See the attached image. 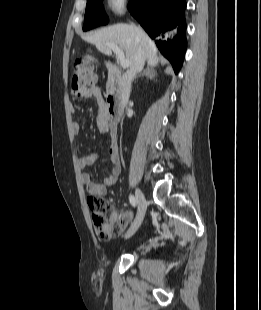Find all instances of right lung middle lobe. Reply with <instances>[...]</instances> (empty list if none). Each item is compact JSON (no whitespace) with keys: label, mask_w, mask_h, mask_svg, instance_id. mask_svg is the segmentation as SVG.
<instances>
[{"label":"right lung middle lobe","mask_w":261,"mask_h":310,"mask_svg":"<svg viewBox=\"0 0 261 310\" xmlns=\"http://www.w3.org/2000/svg\"><path fill=\"white\" fill-rule=\"evenodd\" d=\"M103 0H87L83 30H89L94 27L108 23V17L104 11Z\"/></svg>","instance_id":"dd1d6c3e"}]
</instances>
